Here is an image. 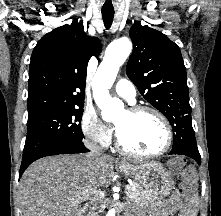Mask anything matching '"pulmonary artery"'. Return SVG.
<instances>
[{
    "label": "pulmonary artery",
    "instance_id": "1",
    "mask_svg": "<svg viewBox=\"0 0 221 216\" xmlns=\"http://www.w3.org/2000/svg\"><path fill=\"white\" fill-rule=\"evenodd\" d=\"M115 92L129 103H134L136 90L132 82L127 79H120L115 84Z\"/></svg>",
    "mask_w": 221,
    "mask_h": 216
}]
</instances>
